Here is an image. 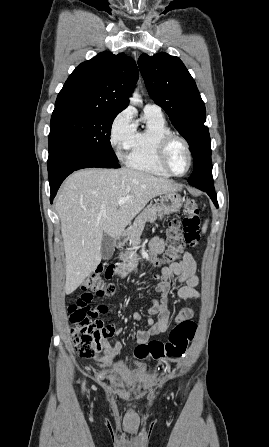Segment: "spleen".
I'll use <instances>...</instances> for the list:
<instances>
[{
  "mask_svg": "<svg viewBox=\"0 0 269 447\" xmlns=\"http://www.w3.org/2000/svg\"><path fill=\"white\" fill-rule=\"evenodd\" d=\"M207 225H208V220H206L205 224L202 225V231L203 233H205L206 229H207Z\"/></svg>",
  "mask_w": 269,
  "mask_h": 447,
  "instance_id": "obj_1",
  "label": "spleen"
}]
</instances>
